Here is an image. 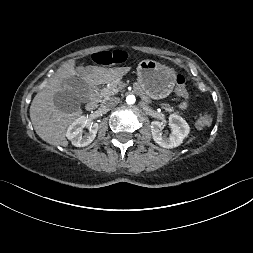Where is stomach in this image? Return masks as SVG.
I'll return each mask as SVG.
<instances>
[{
	"mask_svg": "<svg viewBox=\"0 0 253 253\" xmlns=\"http://www.w3.org/2000/svg\"><path fill=\"white\" fill-rule=\"evenodd\" d=\"M137 80L142 91L152 99H163L174 89L176 72L157 61L146 59L137 66Z\"/></svg>",
	"mask_w": 253,
	"mask_h": 253,
	"instance_id": "0dacf381",
	"label": "stomach"
}]
</instances>
